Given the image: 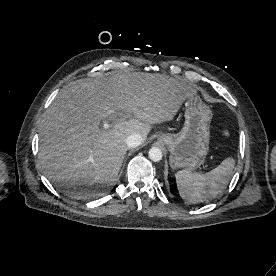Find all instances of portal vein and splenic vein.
I'll return each instance as SVG.
<instances>
[{
  "mask_svg": "<svg viewBox=\"0 0 276 276\" xmlns=\"http://www.w3.org/2000/svg\"><path fill=\"white\" fill-rule=\"evenodd\" d=\"M103 128H104V129H108V128H109V124H108V123H104V124H103Z\"/></svg>",
  "mask_w": 276,
  "mask_h": 276,
  "instance_id": "portal-vein-and-splenic-vein-1",
  "label": "portal vein and splenic vein"
}]
</instances>
